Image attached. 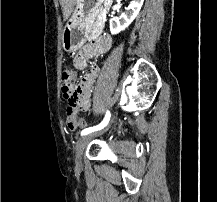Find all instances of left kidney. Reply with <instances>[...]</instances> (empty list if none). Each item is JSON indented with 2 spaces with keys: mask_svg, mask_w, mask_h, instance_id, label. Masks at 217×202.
<instances>
[{
  "mask_svg": "<svg viewBox=\"0 0 217 202\" xmlns=\"http://www.w3.org/2000/svg\"><path fill=\"white\" fill-rule=\"evenodd\" d=\"M143 2L144 0H132L128 8H125V12H122L119 18H116V20H110V32L111 34H113V36L114 34H119V32H123L125 28H128V26H130L131 22H133L136 16H138L143 6Z\"/></svg>",
  "mask_w": 217,
  "mask_h": 202,
  "instance_id": "left-kidney-1",
  "label": "left kidney"
}]
</instances>
